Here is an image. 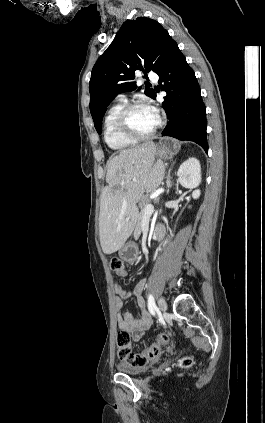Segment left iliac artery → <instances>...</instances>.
<instances>
[{
	"instance_id": "left-iliac-artery-1",
	"label": "left iliac artery",
	"mask_w": 265,
	"mask_h": 423,
	"mask_svg": "<svg viewBox=\"0 0 265 423\" xmlns=\"http://www.w3.org/2000/svg\"><path fill=\"white\" fill-rule=\"evenodd\" d=\"M148 309L152 315L155 314L156 305L152 294L148 296Z\"/></svg>"
}]
</instances>
